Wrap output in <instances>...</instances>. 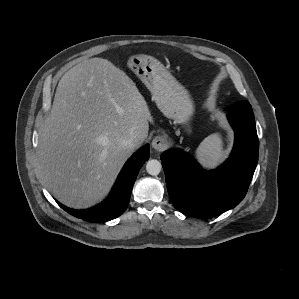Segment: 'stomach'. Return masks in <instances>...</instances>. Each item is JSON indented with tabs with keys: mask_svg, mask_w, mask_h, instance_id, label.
<instances>
[{
	"mask_svg": "<svg viewBox=\"0 0 299 299\" xmlns=\"http://www.w3.org/2000/svg\"><path fill=\"white\" fill-rule=\"evenodd\" d=\"M128 65L151 91L152 98L162 113L175 123L182 124L186 132L190 133L194 107L184 87L153 57L131 56Z\"/></svg>",
	"mask_w": 299,
	"mask_h": 299,
	"instance_id": "stomach-1",
	"label": "stomach"
}]
</instances>
